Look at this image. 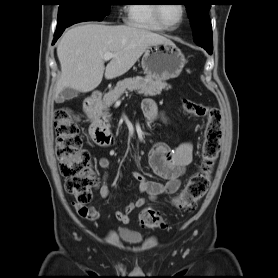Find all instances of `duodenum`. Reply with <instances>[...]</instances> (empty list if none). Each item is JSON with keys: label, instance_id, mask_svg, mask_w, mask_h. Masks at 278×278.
I'll use <instances>...</instances> for the list:
<instances>
[{"label": "duodenum", "instance_id": "obj_1", "mask_svg": "<svg viewBox=\"0 0 278 278\" xmlns=\"http://www.w3.org/2000/svg\"><path fill=\"white\" fill-rule=\"evenodd\" d=\"M102 96V91H93L84 102V112L90 121L89 132L93 140L100 145H109L113 142L114 138L105 124L99 119L97 113Z\"/></svg>", "mask_w": 278, "mask_h": 278}]
</instances>
